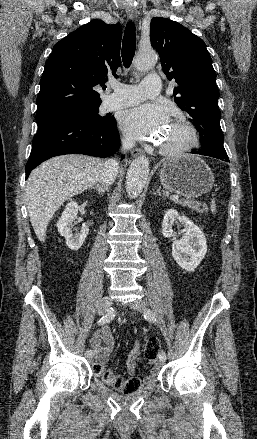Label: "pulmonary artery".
<instances>
[{"label": "pulmonary artery", "mask_w": 257, "mask_h": 439, "mask_svg": "<svg viewBox=\"0 0 257 439\" xmlns=\"http://www.w3.org/2000/svg\"><path fill=\"white\" fill-rule=\"evenodd\" d=\"M161 88V77L152 73L138 85L119 84L113 87L114 93L107 97L105 105L108 110L129 106L147 97L156 96Z\"/></svg>", "instance_id": "obj_1"}]
</instances>
